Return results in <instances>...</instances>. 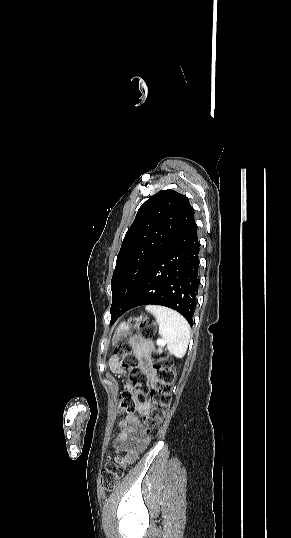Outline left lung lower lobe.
Here are the masks:
<instances>
[{
  "instance_id": "obj_1",
  "label": "left lung lower lobe",
  "mask_w": 291,
  "mask_h": 538,
  "mask_svg": "<svg viewBox=\"0 0 291 538\" xmlns=\"http://www.w3.org/2000/svg\"><path fill=\"white\" fill-rule=\"evenodd\" d=\"M199 248L193 220L160 254L132 301L112 310L110 324L131 308L154 304L178 311L192 325L200 284Z\"/></svg>"
}]
</instances>
